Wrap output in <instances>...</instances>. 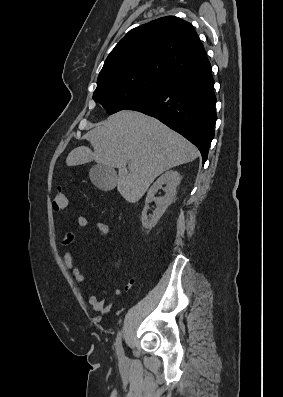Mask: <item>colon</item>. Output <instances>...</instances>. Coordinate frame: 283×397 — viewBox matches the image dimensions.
<instances>
[{
    "instance_id": "1",
    "label": "colon",
    "mask_w": 283,
    "mask_h": 397,
    "mask_svg": "<svg viewBox=\"0 0 283 397\" xmlns=\"http://www.w3.org/2000/svg\"><path fill=\"white\" fill-rule=\"evenodd\" d=\"M53 206L56 211L66 210L69 207L68 196L62 191H58L55 195Z\"/></svg>"
}]
</instances>
